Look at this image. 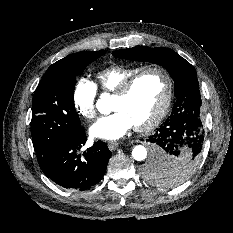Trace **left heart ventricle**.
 Segmentation results:
<instances>
[{
    "instance_id": "1",
    "label": "left heart ventricle",
    "mask_w": 233,
    "mask_h": 233,
    "mask_svg": "<svg viewBox=\"0 0 233 233\" xmlns=\"http://www.w3.org/2000/svg\"><path fill=\"white\" fill-rule=\"evenodd\" d=\"M165 86V78L160 72H146L137 79L126 96L112 98L111 109L125 112L134 126L146 123L162 105Z\"/></svg>"
}]
</instances>
